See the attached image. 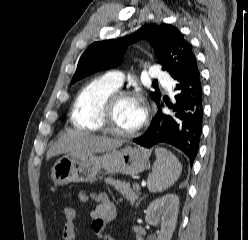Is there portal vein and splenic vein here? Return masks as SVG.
Returning a JSON list of instances; mask_svg holds the SVG:
<instances>
[{
	"label": "portal vein and splenic vein",
	"mask_w": 248,
	"mask_h": 240,
	"mask_svg": "<svg viewBox=\"0 0 248 240\" xmlns=\"http://www.w3.org/2000/svg\"><path fill=\"white\" fill-rule=\"evenodd\" d=\"M134 186L136 187V189H140L139 184L135 183Z\"/></svg>",
	"instance_id": "1"
}]
</instances>
